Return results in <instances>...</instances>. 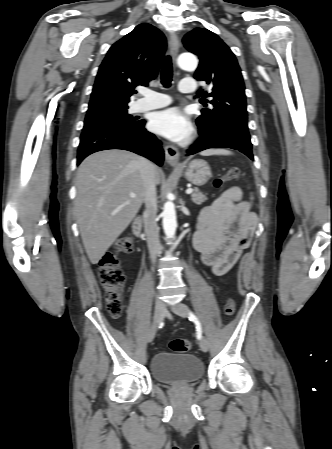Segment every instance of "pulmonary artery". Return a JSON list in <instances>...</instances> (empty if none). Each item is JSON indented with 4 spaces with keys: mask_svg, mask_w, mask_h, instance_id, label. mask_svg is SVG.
<instances>
[{
    "mask_svg": "<svg viewBox=\"0 0 332 449\" xmlns=\"http://www.w3.org/2000/svg\"><path fill=\"white\" fill-rule=\"evenodd\" d=\"M178 89L182 93L194 92V87L189 80H183L179 83ZM143 98L135 104L136 111H146L167 106L171 103V98L163 93L156 91H146Z\"/></svg>",
    "mask_w": 332,
    "mask_h": 449,
    "instance_id": "obj_1",
    "label": "pulmonary artery"
}]
</instances>
